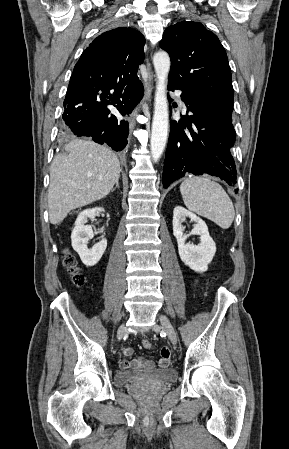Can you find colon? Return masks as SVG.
<instances>
[{
    "label": "colon",
    "mask_w": 289,
    "mask_h": 449,
    "mask_svg": "<svg viewBox=\"0 0 289 449\" xmlns=\"http://www.w3.org/2000/svg\"><path fill=\"white\" fill-rule=\"evenodd\" d=\"M63 265L72 277L76 286H82L85 283V276L80 272L76 258L69 252H65L63 257ZM144 348H151V342L147 339L142 341ZM162 350V349H161ZM171 353V352H170ZM171 357V356H170Z\"/></svg>",
    "instance_id": "5ec220e1"
}]
</instances>
